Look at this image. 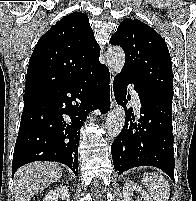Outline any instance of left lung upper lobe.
<instances>
[{
  "instance_id": "1",
  "label": "left lung upper lobe",
  "mask_w": 196,
  "mask_h": 201,
  "mask_svg": "<svg viewBox=\"0 0 196 201\" xmlns=\"http://www.w3.org/2000/svg\"><path fill=\"white\" fill-rule=\"evenodd\" d=\"M109 43L124 49L125 64L120 74L131 78L145 89L173 98L169 50L154 29L139 20L124 19Z\"/></svg>"
}]
</instances>
